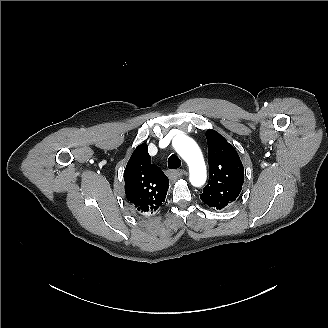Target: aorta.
Masks as SVG:
<instances>
[{"instance_id": "obj_1", "label": "aorta", "mask_w": 328, "mask_h": 328, "mask_svg": "<svg viewBox=\"0 0 328 328\" xmlns=\"http://www.w3.org/2000/svg\"><path fill=\"white\" fill-rule=\"evenodd\" d=\"M173 147L189 167V179L193 186L200 187L206 181V165L196 142L185 135H178L173 140Z\"/></svg>"}]
</instances>
